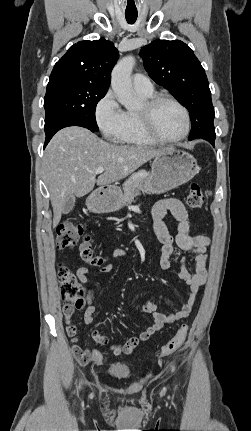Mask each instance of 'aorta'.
<instances>
[{
    "label": "aorta",
    "mask_w": 251,
    "mask_h": 431,
    "mask_svg": "<svg viewBox=\"0 0 251 431\" xmlns=\"http://www.w3.org/2000/svg\"><path fill=\"white\" fill-rule=\"evenodd\" d=\"M134 64L133 56H125L115 65L111 74L112 89L118 101L128 110L139 107V101L132 93L131 73Z\"/></svg>",
    "instance_id": "762f6f07"
}]
</instances>
